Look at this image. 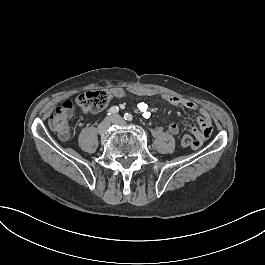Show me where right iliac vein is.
Returning <instances> with one entry per match:
<instances>
[{
  "instance_id": "obj_1",
  "label": "right iliac vein",
  "mask_w": 265,
  "mask_h": 265,
  "mask_svg": "<svg viewBox=\"0 0 265 265\" xmlns=\"http://www.w3.org/2000/svg\"><path fill=\"white\" fill-rule=\"evenodd\" d=\"M110 126V120L107 118L102 123L98 125V131L100 134L104 135L107 133V130Z\"/></svg>"
}]
</instances>
